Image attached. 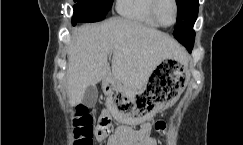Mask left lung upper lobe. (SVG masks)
<instances>
[{"mask_svg":"<svg viewBox=\"0 0 243 145\" xmlns=\"http://www.w3.org/2000/svg\"><path fill=\"white\" fill-rule=\"evenodd\" d=\"M177 4V22L178 26L175 28L173 35L178 40L187 35L186 28L182 22L186 21L188 25H194L198 15V0H176Z\"/></svg>","mask_w":243,"mask_h":145,"instance_id":"5c2ea615","label":"left lung upper lobe"}]
</instances>
